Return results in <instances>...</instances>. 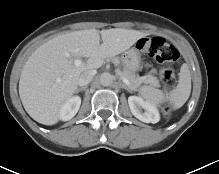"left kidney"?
<instances>
[{"mask_svg":"<svg viewBox=\"0 0 219 174\" xmlns=\"http://www.w3.org/2000/svg\"><path fill=\"white\" fill-rule=\"evenodd\" d=\"M128 104L132 114L140 121L153 124L159 121V112L153 104L137 96H130Z\"/></svg>","mask_w":219,"mask_h":174,"instance_id":"left-kidney-1","label":"left kidney"}]
</instances>
